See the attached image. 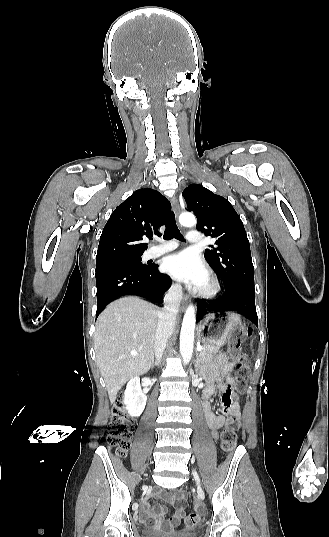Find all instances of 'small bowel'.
<instances>
[{
    "label": "small bowel",
    "instance_id": "c3829d8e",
    "mask_svg": "<svg viewBox=\"0 0 329 537\" xmlns=\"http://www.w3.org/2000/svg\"><path fill=\"white\" fill-rule=\"evenodd\" d=\"M234 364L230 362L225 355L217 357L216 361L211 365L209 370V383L203 392V408L207 424L212 430L213 436L217 437V431L227 421L238 422L240 417L239 403L235 399L233 402L227 403L223 400L222 411L227 414H216L211 408V397L219 390L223 395L231 393L233 386L236 383L235 377L232 376ZM158 496L167 503L174 506V513L167 519V509L161 505L152 507L148 502H144V513L142 520L144 523L158 531H174L181 523L185 516L184 511V493L182 490H175L173 493L161 491Z\"/></svg>",
    "mask_w": 329,
    "mask_h": 537
}]
</instances>
